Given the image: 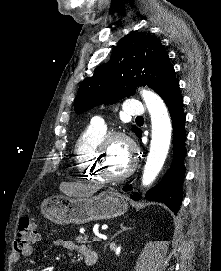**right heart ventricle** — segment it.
Listing matches in <instances>:
<instances>
[{
  "mask_svg": "<svg viewBox=\"0 0 221 271\" xmlns=\"http://www.w3.org/2000/svg\"><path fill=\"white\" fill-rule=\"evenodd\" d=\"M107 136L106 133H95L77 139L75 164H79V179H92L93 183L104 182L100 172L96 171L97 167L96 164H93V158H97L95 150H98L99 145L103 144Z\"/></svg>",
  "mask_w": 221,
  "mask_h": 271,
  "instance_id": "e07e8e85",
  "label": "right heart ventricle"
}]
</instances>
